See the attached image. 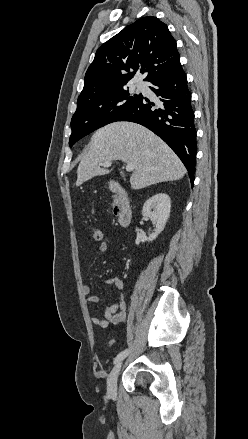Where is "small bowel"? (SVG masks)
<instances>
[{
  "label": "small bowel",
  "instance_id": "c3829d8e",
  "mask_svg": "<svg viewBox=\"0 0 248 439\" xmlns=\"http://www.w3.org/2000/svg\"><path fill=\"white\" fill-rule=\"evenodd\" d=\"M98 250L101 253H104L108 250V244L106 241H101ZM106 285L113 286L119 291H122L124 287V283L122 279L118 276H114L110 279H107L103 282ZM82 293L86 298V301L89 303H98L100 298L96 295L90 293V288L87 285H82ZM126 303L123 299V296L120 295L119 300L116 303L111 305H107L104 309V317H92L91 322L99 327L106 328L110 324L117 325L123 323L126 320Z\"/></svg>",
  "mask_w": 248,
  "mask_h": 439
}]
</instances>
